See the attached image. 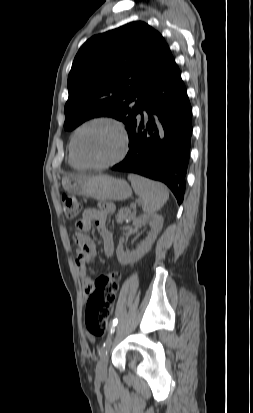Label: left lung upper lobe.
<instances>
[{"instance_id":"obj_1","label":"left lung upper lobe","mask_w":253,"mask_h":413,"mask_svg":"<svg viewBox=\"0 0 253 413\" xmlns=\"http://www.w3.org/2000/svg\"><path fill=\"white\" fill-rule=\"evenodd\" d=\"M172 58L162 35L141 21L91 37L68 76L64 128L70 131L90 118L110 116L128 130Z\"/></svg>"}]
</instances>
